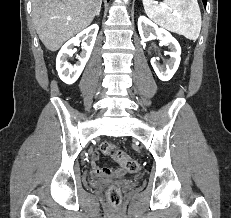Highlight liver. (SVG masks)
I'll return each instance as SVG.
<instances>
[{
  "label": "liver",
  "mask_w": 231,
  "mask_h": 218,
  "mask_svg": "<svg viewBox=\"0 0 231 218\" xmlns=\"http://www.w3.org/2000/svg\"><path fill=\"white\" fill-rule=\"evenodd\" d=\"M102 0H32V18L44 46L57 51L91 24Z\"/></svg>",
  "instance_id": "6515ba94"
}]
</instances>
